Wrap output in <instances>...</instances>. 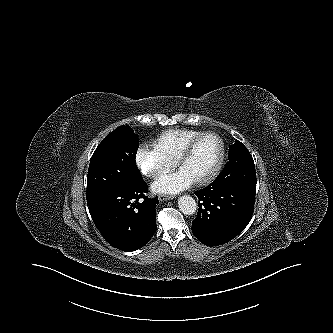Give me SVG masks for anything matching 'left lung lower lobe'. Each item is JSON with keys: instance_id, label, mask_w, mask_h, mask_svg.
I'll list each match as a JSON object with an SVG mask.
<instances>
[{"instance_id": "1", "label": "left lung lower lobe", "mask_w": 333, "mask_h": 333, "mask_svg": "<svg viewBox=\"0 0 333 333\" xmlns=\"http://www.w3.org/2000/svg\"><path fill=\"white\" fill-rule=\"evenodd\" d=\"M229 167L207 187L195 194L199 198L192 232L203 244L218 246L240 234L250 222L255 191L239 186Z\"/></svg>"}]
</instances>
